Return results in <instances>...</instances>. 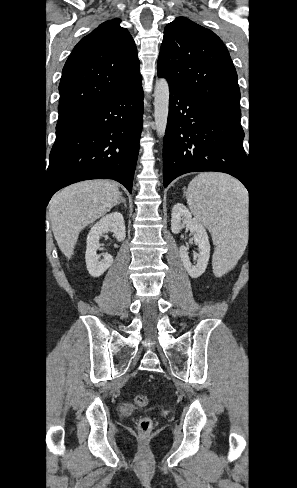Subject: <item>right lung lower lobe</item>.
Listing matches in <instances>:
<instances>
[{
	"mask_svg": "<svg viewBox=\"0 0 297 488\" xmlns=\"http://www.w3.org/2000/svg\"><path fill=\"white\" fill-rule=\"evenodd\" d=\"M141 78L57 124L46 173V206L72 183L113 179L131 193L142 131Z\"/></svg>",
	"mask_w": 297,
	"mask_h": 488,
	"instance_id": "98d812e1",
	"label": "right lung lower lobe"
}]
</instances>
